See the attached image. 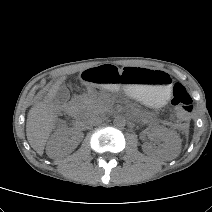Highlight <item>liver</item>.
<instances>
[{
	"label": "liver",
	"instance_id": "6515ba94",
	"mask_svg": "<svg viewBox=\"0 0 212 212\" xmlns=\"http://www.w3.org/2000/svg\"><path fill=\"white\" fill-rule=\"evenodd\" d=\"M66 77L58 79L49 89L43 101L36 103L28 112L26 122V135L31 147L42 155L46 141L54 128L57 112L53 99Z\"/></svg>",
	"mask_w": 212,
	"mask_h": 212
}]
</instances>
